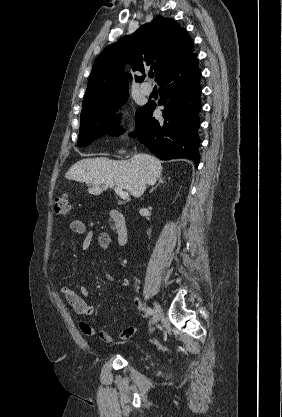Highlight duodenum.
Returning <instances> with one entry per match:
<instances>
[{"label": "duodenum", "mask_w": 282, "mask_h": 417, "mask_svg": "<svg viewBox=\"0 0 282 417\" xmlns=\"http://www.w3.org/2000/svg\"><path fill=\"white\" fill-rule=\"evenodd\" d=\"M109 216L115 224L117 239L119 243L124 246L128 240V228L125 216L121 212L114 209L109 211Z\"/></svg>", "instance_id": "410a0bca"}]
</instances>
